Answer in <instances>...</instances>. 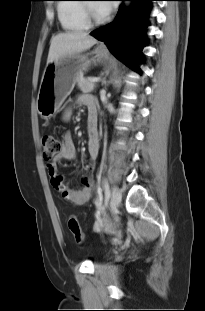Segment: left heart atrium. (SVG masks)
Masks as SVG:
<instances>
[{"label":"left heart atrium","mask_w":205,"mask_h":311,"mask_svg":"<svg viewBox=\"0 0 205 311\" xmlns=\"http://www.w3.org/2000/svg\"><path fill=\"white\" fill-rule=\"evenodd\" d=\"M104 2H109V1H101L100 3L96 4L98 12L103 16L108 15L113 9L112 4H108Z\"/></svg>","instance_id":"39dd6f15"}]
</instances>
